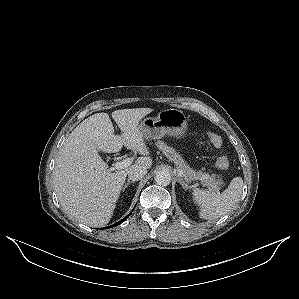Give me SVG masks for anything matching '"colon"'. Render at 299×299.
<instances>
[{
  "label": "colon",
  "mask_w": 299,
  "mask_h": 299,
  "mask_svg": "<svg viewBox=\"0 0 299 299\" xmlns=\"http://www.w3.org/2000/svg\"><path fill=\"white\" fill-rule=\"evenodd\" d=\"M208 139L214 147L220 149L223 146L222 138L213 132L208 133ZM229 166V160L226 155H220L216 160V167L220 170H224Z\"/></svg>",
  "instance_id": "5ec220e1"
}]
</instances>
